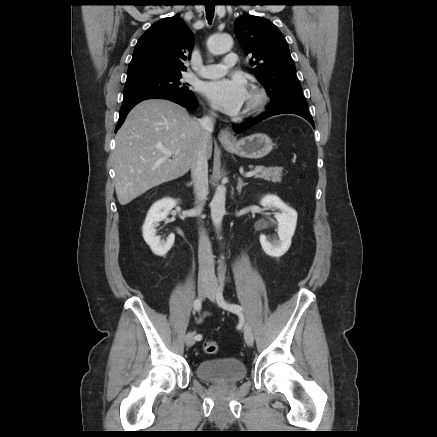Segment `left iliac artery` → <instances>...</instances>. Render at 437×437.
I'll use <instances>...</instances> for the list:
<instances>
[{"instance_id":"obj_1","label":"left iliac artery","mask_w":437,"mask_h":437,"mask_svg":"<svg viewBox=\"0 0 437 437\" xmlns=\"http://www.w3.org/2000/svg\"><path fill=\"white\" fill-rule=\"evenodd\" d=\"M223 290H224V279L222 278V279H220V285H219V287H218V291H217V293H216V299H217V303L222 307V308H224V309H227V310H229V311H231V312H240V311H242V307L241 306H239V305H237V304H230V303H227L225 300H224V297H223Z\"/></svg>"}]
</instances>
